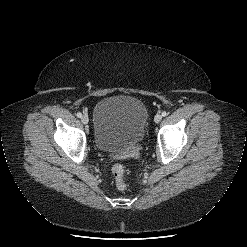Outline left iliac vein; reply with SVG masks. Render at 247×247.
Instances as JSON below:
<instances>
[{
  "mask_svg": "<svg viewBox=\"0 0 247 247\" xmlns=\"http://www.w3.org/2000/svg\"><path fill=\"white\" fill-rule=\"evenodd\" d=\"M161 120H162V115H161V114H157V115L154 117V121H155L156 123H159Z\"/></svg>",
  "mask_w": 247,
  "mask_h": 247,
  "instance_id": "4c4485c4",
  "label": "left iliac vein"
}]
</instances>
